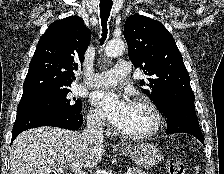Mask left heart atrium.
<instances>
[{
    "mask_svg": "<svg viewBox=\"0 0 224 174\" xmlns=\"http://www.w3.org/2000/svg\"><path fill=\"white\" fill-rule=\"evenodd\" d=\"M92 101L102 115L117 128L122 126L132 106L127 96L109 90L94 93Z\"/></svg>",
    "mask_w": 224,
    "mask_h": 174,
    "instance_id": "obj_1",
    "label": "left heart atrium"
}]
</instances>
